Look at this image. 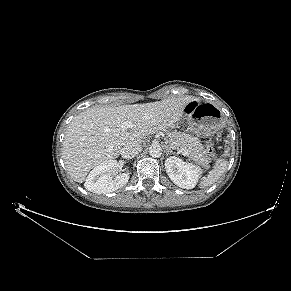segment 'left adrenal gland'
<instances>
[{
    "mask_svg": "<svg viewBox=\"0 0 291 291\" xmlns=\"http://www.w3.org/2000/svg\"><path fill=\"white\" fill-rule=\"evenodd\" d=\"M165 152H166V155H168V154H175V152H173L172 149L169 146H166L165 147Z\"/></svg>",
    "mask_w": 291,
    "mask_h": 291,
    "instance_id": "obj_1",
    "label": "left adrenal gland"
}]
</instances>
